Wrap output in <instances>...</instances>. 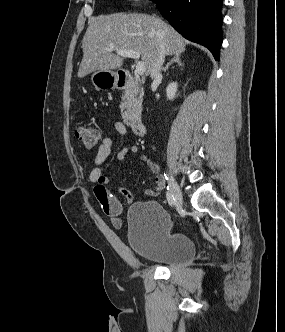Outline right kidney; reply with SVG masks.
I'll list each match as a JSON object with an SVG mask.
<instances>
[{
  "label": "right kidney",
  "instance_id": "1",
  "mask_svg": "<svg viewBox=\"0 0 285 332\" xmlns=\"http://www.w3.org/2000/svg\"><path fill=\"white\" fill-rule=\"evenodd\" d=\"M177 83L176 82H171L168 84L167 88H166V94H167V98L169 100H173L175 98L176 92H177Z\"/></svg>",
  "mask_w": 285,
  "mask_h": 332
}]
</instances>
